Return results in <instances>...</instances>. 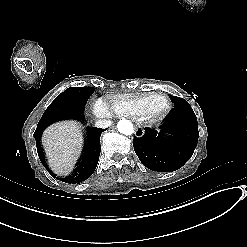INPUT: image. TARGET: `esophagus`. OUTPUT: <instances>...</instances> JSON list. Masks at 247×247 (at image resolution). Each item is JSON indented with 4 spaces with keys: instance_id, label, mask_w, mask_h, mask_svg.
I'll list each match as a JSON object with an SVG mask.
<instances>
[{
    "instance_id": "esophagus-1",
    "label": "esophagus",
    "mask_w": 247,
    "mask_h": 247,
    "mask_svg": "<svg viewBox=\"0 0 247 247\" xmlns=\"http://www.w3.org/2000/svg\"><path fill=\"white\" fill-rule=\"evenodd\" d=\"M143 134H144V132H143L142 129H139V130L137 129L136 132H135V135H136L137 137H142Z\"/></svg>"
}]
</instances>
